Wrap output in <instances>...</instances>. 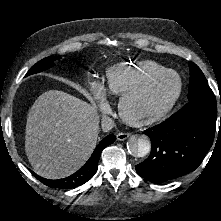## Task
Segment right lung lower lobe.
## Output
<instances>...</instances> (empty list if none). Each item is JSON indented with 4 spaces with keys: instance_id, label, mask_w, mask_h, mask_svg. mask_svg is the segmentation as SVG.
<instances>
[{
    "instance_id": "98d812e1",
    "label": "right lung lower lobe",
    "mask_w": 221,
    "mask_h": 221,
    "mask_svg": "<svg viewBox=\"0 0 221 221\" xmlns=\"http://www.w3.org/2000/svg\"><path fill=\"white\" fill-rule=\"evenodd\" d=\"M114 135H109L105 137L96 147L94 152L92 153L89 160L85 163V165L80 168L74 174L57 180L45 179L43 177L38 176L36 173L32 172V174L40 180L43 184L56 189H71L78 187L84 183H86L97 171L98 161L101 155L102 150L112 144L115 141Z\"/></svg>"
}]
</instances>
